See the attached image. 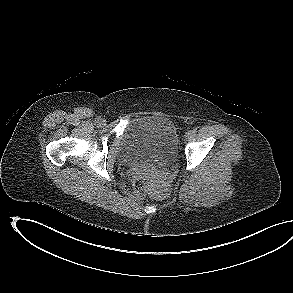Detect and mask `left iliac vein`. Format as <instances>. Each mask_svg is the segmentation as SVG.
I'll return each instance as SVG.
<instances>
[{
	"mask_svg": "<svg viewBox=\"0 0 293 293\" xmlns=\"http://www.w3.org/2000/svg\"><path fill=\"white\" fill-rule=\"evenodd\" d=\"M191 135H192V133H191L190 131H188V132L185 134V138H189Z\"/></svg>",
	"mask_w": 293,
	"mask_h": 293,
	"instance_id": "1",
	"label": "left iliac vein"
}]
</instances>
